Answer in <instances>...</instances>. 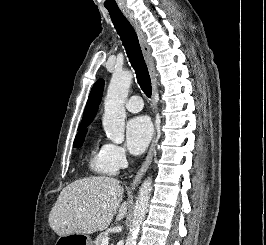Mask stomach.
<instances>
[{
  "mask_svg": "<svg viewBox=\"0 0 266 245\" xmlns=\"http://www.w3.org/2000/svg\"><path fill=\"white\" fill-rule=\"evenodd\" d=\"M61 242H75V245H93V241L89 235L85 233H64Z\"/></svg>",
  "mask_w": 266,
  "mask_h": 245,
  "instance_id": "0dacf381",
  "label": "stomach"
}]
</instances>
